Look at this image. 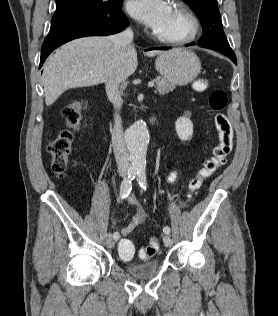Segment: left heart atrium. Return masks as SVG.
<instances>
[{
	"instance_id": "39dd6f15",
	"label": "left heart atrium",
	"mask_w": 278,
	"mask_h": 316,
	"mask_svg": "<svg viewBox=\"0 0 278 316\" xmlns=\"http://www.w3.org/2000/svg\"><path fill=\"white\" fill-rule=\"evenodd\" d=\"M170 10L166 0H130L127 3L128 13L154 31L162 26Z\"/></svg>"
}]
</instances>
